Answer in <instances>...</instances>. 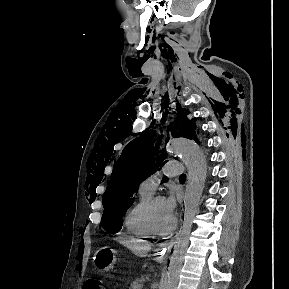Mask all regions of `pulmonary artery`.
<instances>
[{
  "mask_svg": "<svg viewBox=\"0 0 289 289\" xmlns=\"http://www.w3.org/2000/svg\"><path fill=\"white\" fill-rule=\"evenodd\" d=\"M161 173L168 177H178L182 173L181 163L176 160L168 161L162 167ZM161 173L157 172L140 183L141 191L153 194L160 182Z\"/></svg>",
  "mask_w": 289,
  "mask_h": 289,
  "instance_id": "pulmonary-artery-1",
  "label": "pulmonary artery"
}]
</instances>
